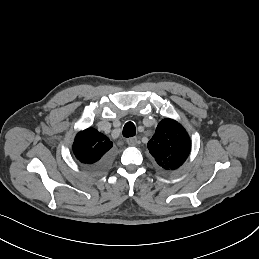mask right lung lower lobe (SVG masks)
Here are the masks:
<instances>
[{"label":"right lung lower lobe","mask_w":259,"mask_h":259,"mask_svg":"<svg viewBox=\"0 0 259 259\" xmlns=\"http://www.w3.org/2000/svg\"><path fill=\"white\" fill-rule=\"evenodd\" d=\"M110 163H111V156L106 155L98 162L94 164H85V166L94 171H101L106 169L110 165Z\"/></svg>","instance_id":"obj_1"}]
</instances>
